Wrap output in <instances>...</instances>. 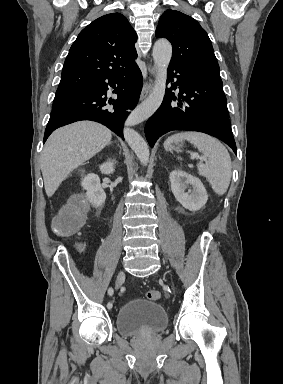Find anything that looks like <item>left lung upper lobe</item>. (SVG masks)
Segmentation results:
<instances>
[{"label":"left lung upper lobe","instance_id":"obj_1","mask_svg":"<svg viewBox=\"0 0 283 384\" xmlns=\"http://www.w3.org/2000/svg\"><path fill=\"white\" fill-rule=\"evenodd\" d=\"M156 37L167 38L172 43L171 66L221 79L211 41L192 17L176 10L165 11L159 19Z\"/></svg>","mask_w":283,"mask_h":384}]
</instances>
